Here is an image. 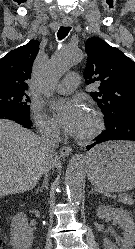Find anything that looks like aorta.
I'll use <instances>...</instances> for the list:
<instances>
[{
  "mask_svg": "<svg viewBox=\"0 0 135 249\" xmlns=\"http://www.w3.org/2000/svg\"><path fill=\"white\" fill-rule=\"evenodd\" d=\"M82 59V51L67 45L62 46L50 59L44 71L46 83L57 82L73 65ZM85 174V158L75 154L67 167L65 185L68 198L77 204L82 198V187Z\"/></svg>",
  "mask_w": 135,
  "mask_h": 249,
  "instance_id": "aorta-1",
  "label": "aorta"
}]
</instances>
